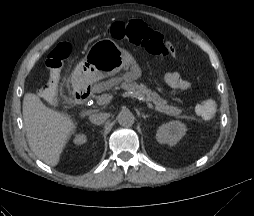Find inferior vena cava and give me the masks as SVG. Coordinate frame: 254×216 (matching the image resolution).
<instances>
[{
    "label": "inferior vena cava",
    "mask_w": 254,
    "mask_h": 216,
    "mask_svg": "<svg viewBox=\"0 0 254 216\" xmlns=\"http://www.w3.org/2000/svg\"><path fill=\"white\" fill-rule=\"evenodd\" d=\"M107 118H108V114L107 113H101V112L92 113L89 116L90 122L95 124V125L103 124L107 120Z\"/></svg>",
    "instance_id": "1"
}]
</instances>
